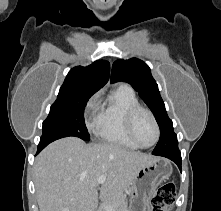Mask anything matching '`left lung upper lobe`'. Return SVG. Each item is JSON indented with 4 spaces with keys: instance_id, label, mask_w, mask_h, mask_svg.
<instances>
[{
    "instance_id": "1",
    "label": "left lung upper lobe",
    "mask_w": 221,
    "mask_h": 211,
    "mask_svg": "<svg viewBox=\"0 0 221 211\" xmlns=\"http://www.w3.org/2000/svg\"><path fill=\"white\" fill-rule=\"evenodd\" d=\"M111 79L112 82L124 81L129 83L154 114L160 128V138L152 154L158 155L179 150L172 120L167 115L158 85L151 75L149 66L137 58L119 59L113 64Z\"/></svg>"
}]
</instances>
